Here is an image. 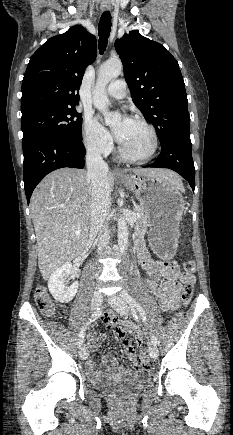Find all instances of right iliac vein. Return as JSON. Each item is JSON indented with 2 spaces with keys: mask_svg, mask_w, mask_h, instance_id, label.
<instances>
[{
  "mask_svg": "<svg viewBox=\"0 0 233 435\" xmlns=\"http://www.w3.org/2000/svg\"><path fill=\"white\" fill-rule=\"evenodd\" d=\"M102 301H103L102 295L100 293H94L93 296H92V300H91L92 309L95 310L98 307H100L101 304H102ZM79 357L81 359H83V360L87 359V357H88V350H87V347L85 345H83L80 348V350H79Z\"/></svg>",
  "mask_w": 233,
  "mask_h": 435,
  "instance_id": "obj_1",
  "label": "right iliac vein"
}]
</instances>
